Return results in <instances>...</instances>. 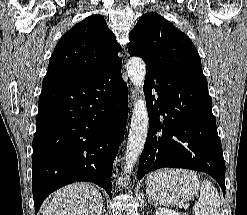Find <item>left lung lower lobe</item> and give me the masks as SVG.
Masks as SVG:
<instances>
[{
	"instance_id": "obj_1",
	"label": "left lung lower lobe",
	"mask_w": 247,
	"mask_h": 215,
	"mask_svg": "<svg viewBox=\"0 0 247 215\" xmlns=\"http://www.w3.org/2000/svg\"><path fill=\"white\" fill-rule=\"evenodd\" d=\"M149 131L138 179L163 168H186L212 176L225 195V162L207 84L146 66Z\"/></svg>"
}]
</instances>
